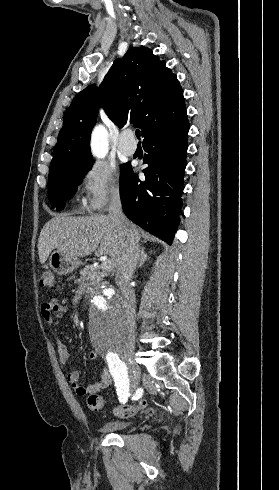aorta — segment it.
<instances>
[{
    "mask_svg": "<svg viewBox=\"0 0 279 490\" xmlns=\"http://www.w3.org/2000/svg\"><path fill=\"white\" fill-rule=\"evenodd\" d=\"M91 150L97 158H104L108 152V133L102 125L92 132ZM88 329L92 343L104 354L131 339L123 302L114 289L104 288L92 297Z\"/></svg>",
    "mask_w": 279,
    "mask_h": 490,
    "instance_id": "1",
    "label": "aorta"
}]
</instances>
